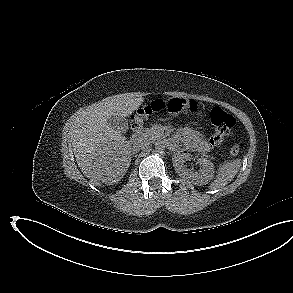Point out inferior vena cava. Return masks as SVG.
Wrapping results in <instances>:
<instances>
[{
  "label": "inferior vena cava",
  "instance_id": "inferior-vena-cava-1",
  "mask_svg": "<svg viewBox=\"0 0 293 293\" xmlns=\"http://www.w3.org/2000/svg\"><path fill=\"white\" fill-rule=\"evenodd\" d=\"M150 142L148 140H138L133 145V151H139L140 149H145L149 146Z\"/></svg>",
  "mask_w": 293,
  "mask_h": 293
}]
</instances>
